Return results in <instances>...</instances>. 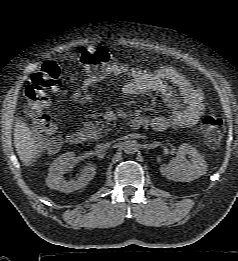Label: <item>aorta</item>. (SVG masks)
Masks as SVG:
<instances>
[{
    "label": "aorta",
    "instance_id": "aorta-1",
    "mask_svg": "<svg viewBox=\"0 0 238 261\" xmlns=\"http://www.w3.org/2000/svg\"><path fill=\"white\" fill-rule=\"evenodd\" d=\"M122 147L123 151L128 155H132L138 151V145L135 140L125 141Z\"/></svg>",
    "mask_w": 238,
    "mask_h": 261
}]
</instances>
